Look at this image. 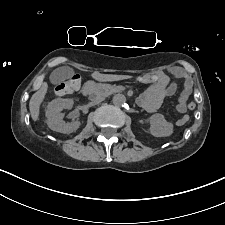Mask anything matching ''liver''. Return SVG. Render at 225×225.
<instances>
[{"instance_id": "obj_1", "label": "liver", "mask_w": 225, "mask_h": 225, "mask_svg": "<svg viewBox=\"0 0 225 225\" xmlns=\"http://www.w3.org/2000/svg\"><path fill=\"white\" fill-rule=\"evenodd\" d=\"M92 77L97 81H116L126 78L125 76L112 75V74H100L99 72H94ZM48 90V85L46 82H43L39 88L30 98L29 101V110L30 115L33 121L39 119L40 105L43 102L45 95Z\"/></svg>"}]
</instances>
